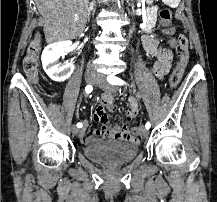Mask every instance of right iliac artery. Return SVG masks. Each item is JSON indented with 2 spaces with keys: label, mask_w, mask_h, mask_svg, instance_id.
<instances>
[{
  "label": "right iliac artery",
  "mask_w": 217,
  "mask_h": 202,
  "mask_svg": "<svg viewBox=\"0 0 217 202\" xmlns=\"http://www.w3.org/2000/svg\"><path fill=\"white\" fill-rule=\"evenodd\" d=\"M92 90H93L92 85H87V86L85 87L86 93H91ZM76 126H77L78 128H81L83 125H82V123L79 122V123H77Z\"/></svg>",
  "instance_id": "1"
}]
</instances>
